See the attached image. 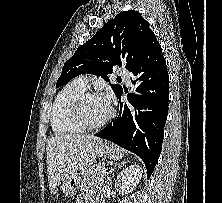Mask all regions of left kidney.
Here are the masks:
<instances>
[{"label":"left kidney","mask_w":222,"mask_h":203,"mask_svg":"<svg viewBox=\"0 0 222 203\" xmlns=\"http://www.w3.org/2000/svg\"><path fill=\"white\" fill-rule=\"evenodd\" d=\"M143 170L138 164H132L124 168L117 176L115 187L122 194H128L134 190L141 179Z\"/></svg>","instance_id":"5707ae66"}]
</instances>
